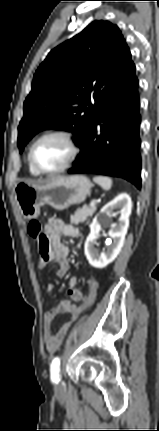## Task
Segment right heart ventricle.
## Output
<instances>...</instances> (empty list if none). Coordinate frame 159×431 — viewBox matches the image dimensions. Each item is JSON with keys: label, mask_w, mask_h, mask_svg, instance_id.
Segmentation results:
<instances>
[{"label": "right heart ventricle", "mask_w": 159, "mask_h": 431, "mask_svg": "<svg viewBox=\"0 0 159 431\" xmlns=\"http://www.w3.org/2000/svg\"><path fill=\"white\" fill-rule=\"evenodd\" d=\"M28 168H29V172L33 175V176H38L39 173L31 166V164L29 163L28 160Z\"/></svg>", "instance_id": "right-heart-ventricle-1"}]
</instances>
